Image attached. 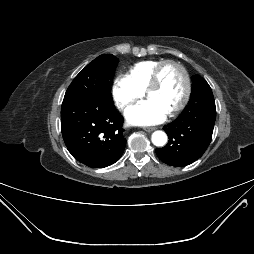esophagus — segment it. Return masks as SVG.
<instances>
[{"instance_id":"34e87169","label":"esophagus","mask_w":254,"mask_h":254,"mask_svg":"<svg viewBox=\"0 0 254 254\" xmlns=\"http://www.w3.org/2000/svg\"><path fill=\"white\" fill-rule=\"evenodd\" d=\"M144 130H145L146 132H152V131L155 130V128H154V127H146V128H144Z\"/></svg>"}]
</instances>
